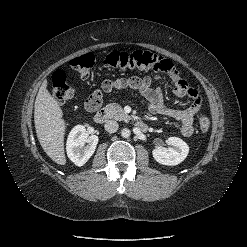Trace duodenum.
<instances>
[{
	"label": "duodenum",
	"mask_w": 247,
	"mask_h": 247,
	"mask_svg": "<svg viewBox=\"0 0 247 247\" xmlns=\"http://www.w3.org/2000/svg\"><path fill=\"white\" fill-rule=\"evenodd\" d=\"M106 120H107V113L105 110L100 109L95 113L94 121L96 123H104ZM136 126L142 131H146L148 128L147 124L143 121H138L136 123Z\"/></svg>",
	"instance_id": "1"
}]
</instances>
